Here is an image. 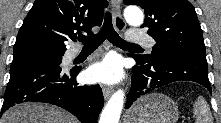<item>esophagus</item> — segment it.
Listing matches in <instances>:
<instances>
[{
  "instance_id": "1",
  "label": "esophagus",
  "mask_w": 221,
  "mask_h": 123,
  "mask_svg": "<svg viewBox=\"0 0 221 123\" xmlns=\"http://www.w3.org/2000/svg\"><path fill=\"white\" fill-rule=\"evenodd\" d=\"M111 5L114 25L118 31L122 32L126 28V23L121 15V2L120 0H112ZM102 91L104 98L107 100L112 94L113 89L109 86H103Z\"/></svg>"
}]
</instances>
